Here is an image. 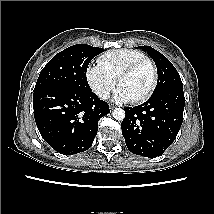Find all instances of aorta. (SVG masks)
I'll return each mask as SVG.
<instances>
[{"label": "aorta", "mask_w": 214, "mask_h": 214, "mask_svg": "<svg viewBox=\"0 0 214 214\" xmlns=\"http://www.w3.org/2000/svg\"><path fill=\"white\" fill-rule=\"evenodd\" d=\"M112 115L116 120L121 121L125 117V111L122 108H115Z\"/></svg>", "instance_id": "aorta-1"}]
</instances>
